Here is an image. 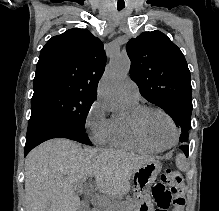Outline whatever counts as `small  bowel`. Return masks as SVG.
<instances>
[{
	"mask_svg": "<svg viewBox=\"0 0 219 211\" xmlns=\"http://www.w3.org/2000/svg\"><path fill=\"white\" fill-rule=\"evenodd\" d=\"M155 202L157 204L156 211H168L171 204V194L164 189H157L154 193Z\"/></svg>",
	"mask_w": 219,
	"mask_h": 211,
	"instance_id": "c3829d8e",
	"label": "small bowel"
}]
</instances>
